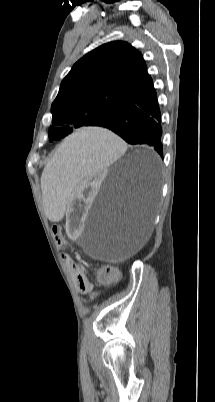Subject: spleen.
I'll return each instance as SVG.
<instances>
[{"label":"spleen","mask_w":215,"mask_h":402,"mask_svg":"<svg viewBox=\"0 0 215 402\" xmlns=\"http://www.w3.org/2000/svg\"><path fill=\"white\" fill-rule=\"evenodd\" d=\"M125 149L110 128H76L75 134L59 144L42 176L45 209L49 220H60L73 186L115 161Z\"/></svg>","instance_id":"3e777b00"}]
</instances>
